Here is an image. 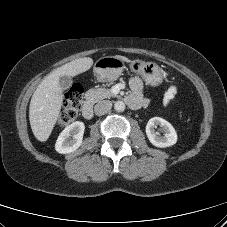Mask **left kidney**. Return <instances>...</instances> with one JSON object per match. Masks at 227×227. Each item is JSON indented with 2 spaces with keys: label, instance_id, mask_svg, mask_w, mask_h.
Wrapping results in <instances>:
<instances>
[{
  "label": "left kidney",
  "instance_id": "1",
  "mask_svg": "<svg viewBox=\"0 0 227 227\" xmlns=\"http://www.w3.org/2000/svg\"><path fill=\"white\" fill-rule=\"evenodd\" d=\"M157 126L162 127L164 135L161 136L155 130ZM146 134L149 141L156 147L165 148L177 142V133L174 127L165 119L160 117L151 118L146 125Z\"/></svg>",
  "mask_w": 227,
  "mask_h": 227
}]
</instances>
